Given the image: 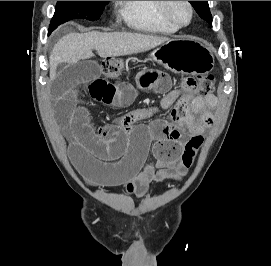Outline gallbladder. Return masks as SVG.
Masks as SVG:
<instances>
[{"label":"gallbladder","instance_id":"1","mask_svg":"<svg viewBox=\"0 0 271 266\" xmlns=\"http://www.w3.org/2000/svg\"><path fill=\"white\" fill-rule=\"evenodd\" d=\"M63 68H64V64H59L57 70L61 72Z\"/></svg>","mask_w":271,"mask_h":266}]
</instances>
